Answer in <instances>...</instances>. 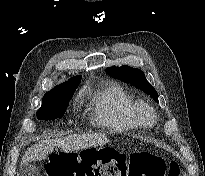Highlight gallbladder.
<instances>
[{"mask_svg": "<svg viewBox=\"0 0 205 176\" xmlns=\"http://www.w3.org/2000/svg\"><path fill=\"white\" fill-rule=\"evenodd\" d=\"M38 173V167L35 164H25L20 167L19 176H36Z\"/></svg>", "mask_w": 205, "mask_h": 176, "instance_id": "gallbladder-1", "label": "gallbladder"}]
</instances>
